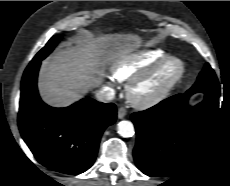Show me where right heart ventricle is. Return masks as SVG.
I'll list each match as a JSON object with an SVG mask.
<instances>
[{
  "label": "right heart ventricle",
  "instance_id": "e07e8e85",
  "mask_svg": "<svg viewBox=\"0 0 230 186\" xmlns=\"http://www.w3.org/2000/svg\"><path fill=\"white\" fill-rule=\"evenodd\" d=\"M165 56L161 50H146L131 59L122 60L111 69L112 75L118 81H127L135 74L148 69Z\"/></svg>",
  "mask_w": 230,
  "mask_h": 186
}]
</instances>
